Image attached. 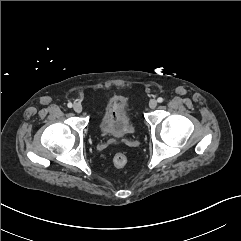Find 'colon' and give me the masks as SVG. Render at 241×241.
Returning a JSON list of instances; mask_svg holds the SVG:
<instances>
[{"mask_svg": "<svg viewBox=\"0 0 241 241\" xmlns=\"http://www.w3.org/2000/svg\"><path fill=\"white\" fill-rule=\"evenodd\" d=\"M113 163L116 167L122 168L127 164V157L123 153H117L113 157Z\"/></svg>", "mask_w": 241, "mask_h": 241, "instance_id": "1", "label": "colon"}]
</instances>
